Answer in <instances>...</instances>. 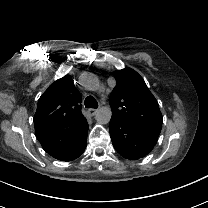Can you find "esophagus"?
<instances>
[{
	"instance_id": "34e87169",
	"label": "esophagus",
	"mask_w": 208,
	"mask_h": 208,
	"mask_svg": "<svg viewBox=\"0 0 208 208\" xmlns=\"http://www.w3.org/2000/svg\"><path fill=\"white\" fill-rule=\"evenodd\" d=\"M98 110L99 109H97V108H89L88 110H87V112H88V114H89V116H94L97 112H98Z\"/></svg>"
}]
</instances>
